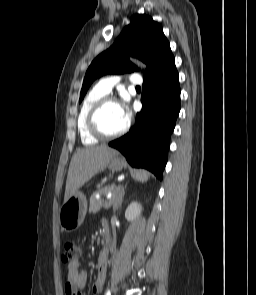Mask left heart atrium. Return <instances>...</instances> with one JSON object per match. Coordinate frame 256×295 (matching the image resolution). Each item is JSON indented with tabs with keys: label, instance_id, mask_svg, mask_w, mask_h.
<instances>
[{
	"label": "left heart atrium",
	"instance_id": "39dd6f15",
	"mask_svg": "<svg viewBox=\"0 0 256 295\" xmlns=\"http://www.w3.org/2000/svg\"><path fill=\"white\" fill-rule=\"evenodd\" d=\"M118 105H119V108H120V111H121L122 115L124 117H126V119H127V116H128V106H127L126 101L123 102V103H121V104H118Z\"/></svg>",
	"mask_w": 256,
	"mask_h": 295
}]
</instances>
